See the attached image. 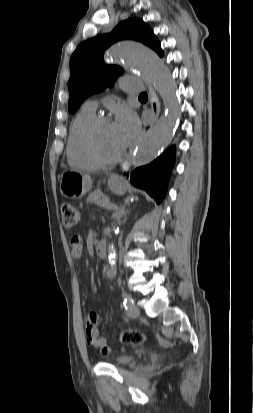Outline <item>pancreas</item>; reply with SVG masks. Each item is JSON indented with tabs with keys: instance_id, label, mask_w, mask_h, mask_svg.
Listing matches in <instances>:
<instances>
[{
	"instance_id": "pancreas-1",
	"label": "pancreas",
	"mask_w": 253,
	"mask_h": 413,
	"mask_svg": "<svg viewBox=\"0 0 253 413\" xmlns=\"http://www.w3.org/2000/svg\"><path fill=\"white\" fill-rule=\"evenodd\" d=\"M87 201L96 204L98 206H102V203L109 201L106 196L100 190H95L91 194H89Z\"/></svg>"
}]
</instances>
